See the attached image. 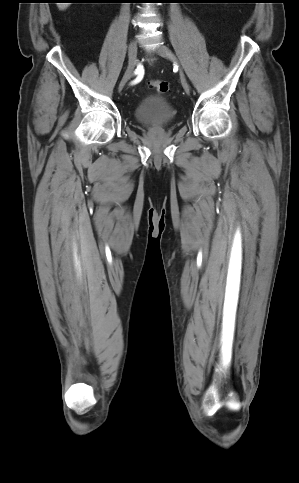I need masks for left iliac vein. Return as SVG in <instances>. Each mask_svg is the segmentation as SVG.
I'll use <instances>...</instances> for the list:
<instances>
[{
	"label": "left iliac vein",
	"instance_id": "1",
	"mask_svg": "<svg viewBox=\"0 0 299 483\" xmlns=\"http://www.w3.org/2000/svg\"><path fill=\"white\" fill-rule=\"evenodd\" d=\"M156 52L157 54H159L160 56L162 57H165L167 59H169L171 62L177 64V60L175 58V56L172 54V52L164 45H159L156 49ZM180 80H181V84L184 88V90L189 93V85H188V82H187V79L183 73V71L180 69Z\"/></svg>",
	"mask_w": 299,
	"mask_h": 483
}]
</instances>
